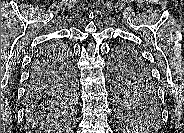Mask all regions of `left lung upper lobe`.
Segmentation results:
<instances>
[{
	"instance_id": "5c2ea615",
	"label": "left lung upper lobe",
	"mask_w": 184,
	"mask_h": 133,
	"mask_svg": "<svg viewBox=\"0 0 184 133\" xmlns=\"http://www.w3.org/2000/svg\"><path fill=\"white\" fill-rule=\"evenodd\" d=\"M110 67L121 115L142 125L156 123L160 119V104L146 62L134 49L124 46L116 50ZM137 81H143L155 92L139 94L134 88Z\"/></svg>"
}]
</instances>
